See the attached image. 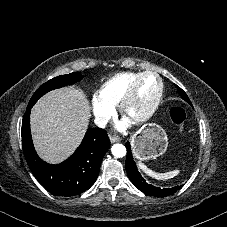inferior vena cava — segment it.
<instances>
[{
	"mask_svg": "<svg viewBox=\"0 0 227 227\" xmlns=\"http://www.w3.org/2000/svg\"><path fill=\"white\" fill-rule=\"evenodd\" d=\"M94 123L100 127V128H104L106 127L107 123H108V119L106 117H102V116H97L94 119Z\"/></svg>",
	"mask_w": 227,
	"mask_h": 227,
	"instance_id": "602c4592",
	"label": "inferior vena cava"
}]
</instances>
